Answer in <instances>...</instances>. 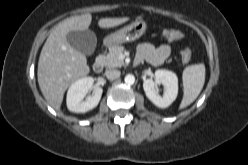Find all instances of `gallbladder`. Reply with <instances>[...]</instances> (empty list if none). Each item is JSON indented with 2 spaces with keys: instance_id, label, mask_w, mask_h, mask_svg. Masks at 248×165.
Wrapping results in <instances>:
<instances>
[{
  "instance_id": "bac80fb5",
  "label": "gallbladder",
  "mask_w": 248,
  "mask_h": 165,
  "mask_svg": "<svg viewBox=\"0 0 248 165\" xmlns=\"http://www.w3.org/2000/svg\"><path fill=\"white\" fill-rule=\"evenodd\" d=\"M68 43L77 51L85 54L92 55L97 43L96 35L91 30H74L68 32L67 36Z\"/></svg>"
}]
</instances>
